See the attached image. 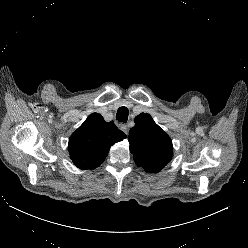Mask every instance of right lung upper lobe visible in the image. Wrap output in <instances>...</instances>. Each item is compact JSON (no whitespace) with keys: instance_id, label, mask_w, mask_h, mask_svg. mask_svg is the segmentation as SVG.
Here are the masks:
<instances>
[{"instance_id":"right-lung-upper-lobe-1","label":"right lung upper lobe","mask_w":248,"mask_h":248,"mask_svg":"<svg viewBox=\"0 0 248 248\" xmlns=\"http://www.w3.org/2000/svg\"><path fill=\"white\" fill-rule=\"evenodd\" d=\"M126 138L113 121L105 122L100 114H91L71 135L70 158L80 169H95L105 160L109 149Z\"/></svg>"}]
</instances>
